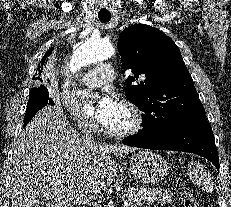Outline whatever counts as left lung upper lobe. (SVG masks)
<instances>
[{
    "label": "left lung upper lobe",
    "instance_id": "left-lung-upper-lobe-1",
    "mask_svg": "<svg viewBox=\"0 0 231 207\" xmlns=\"http://www.w3.org/2000/svg\"><path fill=\"white\" fill-rule=\"evenodd\" d=\"M118 49L124 71L133 73L125 81L126 97L145 112L141 133L160 136L206 118L181 53L168 36L137 24L120 34Z\"/></svg>",
    "mask_w": 231,
    "mask_h": 207
}]
</instances>
